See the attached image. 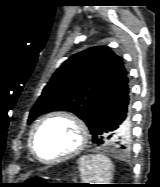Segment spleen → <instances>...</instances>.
<instances>
[{"mask_svg":"<svg viewBox=\"0 0 160 187\" xmlns=\"http://www.w3.org/2000/svg\"><path fill=\"white\" fill-rule=\"evenodd\" d=\"M79 171L82 182L109 184L112 179L113 164L102 154L87 155L79 159Z\"/></svg>","mask_w":160,"mask_h":187,"instance_id":"1","label":"spleen"}]
</instances>
